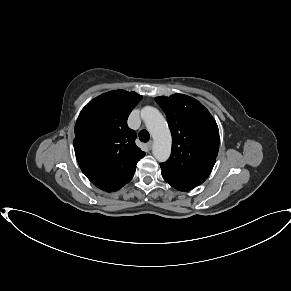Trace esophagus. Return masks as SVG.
Wrapping results in <instances>:
<instances>
[{"label": "esophagus", "mask_w": 291, "mask_h": 291, "mask_svg": "<svg viewBox=\"0 0 291 291\" xmlns=\"http://www.w3.org/2000/svg\"><path fill=\"white\" fill-rule=\"evenodd\" d=\"M152 145H153V142H152V141H149V142L147 143V148H148L149 150H151Z\"/></svg>", "instance_id": "obj_1"}]
</instances>
